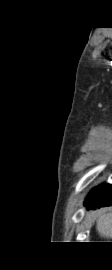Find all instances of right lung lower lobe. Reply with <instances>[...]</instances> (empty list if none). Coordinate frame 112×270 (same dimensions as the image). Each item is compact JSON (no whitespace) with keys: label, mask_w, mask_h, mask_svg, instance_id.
<instances>
[{"label":"right lung lower lobe","mask_w":112,"mask_h":270,"mask_svg":"<svg viewBox=\"0 0 112 270\" xmlns=\"http://www.w3.org/2000/svg\"><path fill=\"white\" fill-rule=\"evenodd\" d=\"M84 204L89 209L112 206V185L103 184L94 188L87 196Z\"/></svg>","instance_id":"obj_1"}]
</instances>
